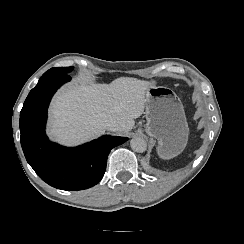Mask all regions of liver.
Masks as SVG:
<instances>
[{
    "label": "liver",
    "instance_id": "liver-1",
    "mask_svg": "<svg viewBox=\"0 0 244 244\" xmlns=\"http://www.w3.org/2000/svg\"><path fill=\"white\" fill-rule=\"evenodd\" d=\"M147 81L121 78L110 85L92 83L62 90L51 109L50 136L66 143L79 142L104 131L102 120L121 125L128 132L145 110Z\"/></svg>",
    "mask_w": 244,
    "mask_h": 244
}]
</instances>
